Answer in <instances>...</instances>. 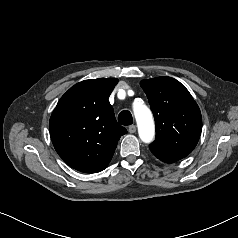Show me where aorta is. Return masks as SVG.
Masks as SVG:
<instances>
[{
  "instance_id": "1",
  "label": "aorta",
  "mask_w": 238,
  "mask_h": 238,
  "mask_svg": "<svg viewBox=\"0 0 238 238\" xmlns=\"http://www.w3.org/2000/svg\"><path fill=\"white\" fill-rule=\"evenodd\" d=\"M133 111L140 139L145 143H150L155 136L154 120L150 109L142 103H135Z\"/></svg>"
}]
</instances>
